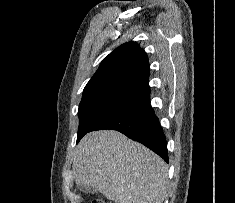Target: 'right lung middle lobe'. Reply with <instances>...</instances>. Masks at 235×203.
<instances>
[{"instance_id": "1", "label": "right lung middle lobe", "mask_w": 235, "mask_h": 203, "mask_svg": "<svg viewBox=\"0 0 235 203\" xmlns=\"http://www.w3.org/2000/svg\"><path fill=\"white\" fill-rule=\"evenodd\" d=\"M148 87L112 83L84 89L78 109L79 129L77 142L101 120L128 104L142 98Z\"/></svg>"}]
</instances>
